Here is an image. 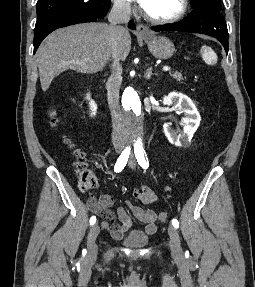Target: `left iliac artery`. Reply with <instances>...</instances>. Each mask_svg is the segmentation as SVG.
Returning a JSON list of instances; mask_svg holds the SVG:
<instances>
[{
  "instance_id": "obj_1",
  "label": "left iliac artery",
  "mask_w": 255,
  "mask_h": 287,
  "mask_svg": "<svg viewBox=\"0 0 255 287\" xmlns=\"http://www.w3.org/2000/svg\"><path fill=\"white\" fill-rule=\"evenodd\" d=\"M135 157L137 159L138 164L143 168L147 169L149 167L148 158L146 152L142 147H135L134 149ZM172 224L175 228L179 227V222L177 219L172 220Z\"/></svg>"
}]
</instances>
